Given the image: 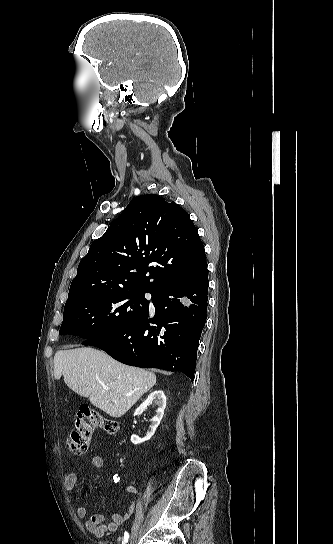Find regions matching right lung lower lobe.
Wrapping results in <instances>:
<instances>
[{
	"instance_id": "98d812e1",
	"label": "right lung lower lobe",
	"mask_w": 333,
	"mask_h": 544,
	"mask_svg": "<svg viewBox=\"0 0 333 544\" xmlns=\"http://www.w3.org/2000/svg\"><path fill=\"white\" fill-rule=\"evenodd\" d=\"M207 269L199 276L152 294L149 309L132 325L83 342L131 366L181 371L194 378L197 349L206 322Z\"/></svg>"
}]
</instances>
